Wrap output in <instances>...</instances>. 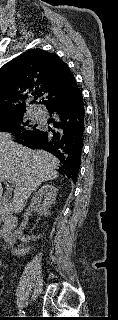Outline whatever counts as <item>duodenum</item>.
Wrapping results in <instances>:
<instances>
[{
    "label": "duodenum",
    "mask_w": 118,
    "mask_h": 320,
    "mask_svg": "<svg viewBox=\"0 0 118 320\" xmlns=\"http://www.w3.org/2000/svg\"><path fill=\"white\" fill-rule=\"evenodd\" d=\"M16 225L17 220L12 216H4L0 221V237L5 242L6 247H9L16 242Z\"/></svg>",
    "instance_id": "410a0bca"
}]
</instances>
